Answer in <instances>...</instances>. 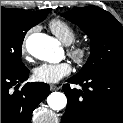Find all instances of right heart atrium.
Masks as SVG:
<instances>
[{
    "label": "right heart atrium",
    "mask_w": 123,
    "mask_h": 123,
    "mask_svg": "<svg viewBox=\"0 0 123 123\" xmlns=\"http://www.w3.org/2000/svg\"><path fill=\"white\" fill-rule=\"evenodd\" d=\"M22 53H25V44L22 45Z\"/></svg>",
    "instance_id": "1"
}]
</instances>
